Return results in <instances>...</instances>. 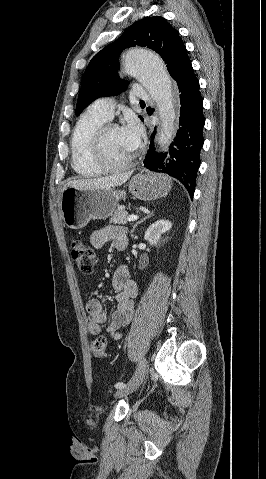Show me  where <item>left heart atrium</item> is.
Listing matches in <instances>:
<instances>
[{
	"label": "left heart atrium",
	"instance_id": "obj_1",
	"mask_svg": "<svg viewBox=\"0 0 266 479\" xmlns=\"http://www.w3.org/2000/svg\"><path fill=\"white\" fill-rule=\"evenodd\" d=\"M129 148L135 151L141 140L142 128L135 119H129L127 124L121 128Z\"/></svg>",
	"mask_w": 266,
	"mask_h": 479
}]
</instances>
